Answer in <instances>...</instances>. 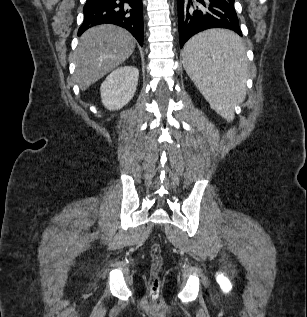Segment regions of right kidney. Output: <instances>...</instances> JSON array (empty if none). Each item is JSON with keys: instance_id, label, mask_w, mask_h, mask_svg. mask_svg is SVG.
Instances as JSON below:
<instances>
[{"instance_id": "right-kidney-1", "label": "right kidney", "mask_w": 307, "mask_h": 317, "mask_svg": "<svg viewBox=\"0 0 307 317\" xmlns=\"http://www.w3.org/2000/svg\"><path fill=\"white\" fill-rule=\"evenodd\" d=\"M139 71L135 66H122L107 76L101 84V99L108 110H119L133 98Z\"/></svg>"}]
</instances>
